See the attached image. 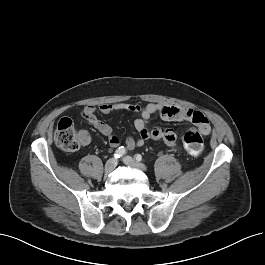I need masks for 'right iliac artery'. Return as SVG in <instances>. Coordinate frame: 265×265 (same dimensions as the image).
Returning <instances> with one entry per match:
<instances>
[{
	"label": "right iliac artery",
	"instance_id": "obj_1",
	"mask_svg": "<svg viewBox=\"0 0 265 265\" xmlns=\"http://www.w3.org/2000/svg\"><path fill=\"white\" fill-rule=\"evenodd\" d=\"M125 153H126L125 148H124V147H119V148L115 151V153H114V157H115V158H120V157H122Z\"/></svg>",
	"mask_w": 265,
	"mask_h": 265
}]
</instances>
